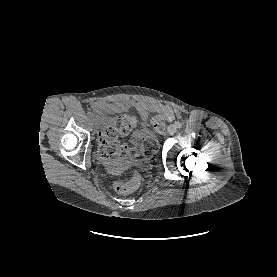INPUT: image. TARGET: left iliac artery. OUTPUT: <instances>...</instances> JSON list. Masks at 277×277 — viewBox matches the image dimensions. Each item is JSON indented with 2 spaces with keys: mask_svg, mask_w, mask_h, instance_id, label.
I'll return each instance as SVG.
<instances>
[{
  "mask_svg": "<svg viewBox=\"0 0 277 277\" xmlns=\"http://www.w3.org/2000/svg\"><path fill=\"white\" fill-rule=\"evenodd\" d=\"M175 125H176L177 128H181V127L183 126V123L180 122V121H177V122L175 123Z\"/></svg>",
  "mask_w": 277,
  "mask_h": 277,
  "instance_id": "obj_1",
  "label": "left iliac artery"
}]
</instances>
